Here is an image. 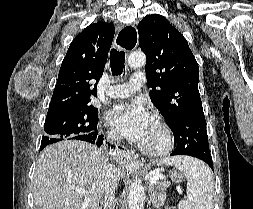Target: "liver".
Instances as JSON below:
<instances>
[{"instance_id":"6515ba94","label":"liver","mask_w":253,"mask_h":209,"mask_svg":"<svg viewBox=\"0 0 253 209\" xmlns=\"http://www.w3.org/2000/svg\"><path fill=\"white\" fill-rule=\"evenodd\" d=\"M109 165L104 151L87 142L63 140L46 147L33 178L35 209H99ZM76 188L96 194H80Z\"/></svg>"}]
</instances>
